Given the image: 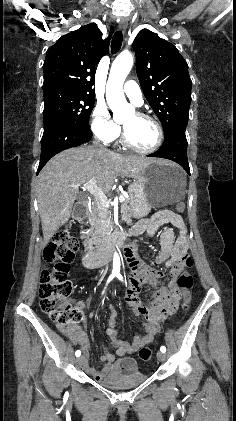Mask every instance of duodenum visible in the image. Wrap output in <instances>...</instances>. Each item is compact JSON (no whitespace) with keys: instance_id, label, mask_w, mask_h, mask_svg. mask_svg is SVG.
I'll return each instance as SVG.
<instances>
[{"instance_id":"obj_1","label":"duodenum","mask_w":236,"mask_h":421,"mask_svg":"<svg viewBox=\"0 0 236 421\" xmlns=\"http://www.w3.org/2000/svg\"><path fill=\"white\" fill-rule=\"evenodd\" d=\"M87 204V201H81L75 206L73 216L77 221H82L85 219L87 213ZM125 240L126 236L121 231H115L109 234L106 237L104 244H102L100 247L90 251L83 250L81 252V260L83 265L89 269L100 267L110 260L112 250L115 247L122 246L125 249V254L128 259L129 265L134 270L137 282H145L159 277V272L157 270H152L139 264V262L134 256L133 246L131 244L126 243ZM165 259L166 257H163V255L157 258L158 262H161ZM171 260L172 262L176 261L174 253H172L171 255ZM177 297L178 294L176 291H169L166 288H160L156 292L154 300L152 302V309L148 310V317L150 320L147 326L148 334L145 337L139 339L140 341L145 340L148 336L153 335L156 332L155 316H162L165 313L173 312L174 303ZM135 310L140 311L142 313H145L147 311V309L140 307H135ZM109 335L112 336L113 344L119 347V349L117 350L118 354L122 355L125 352H129L132 350L133 347L131 345L124 344L121 341L115 339L116 331L109 329ZM71 340L74 342L80 341V339L76 336H72ZM102 360L106 362H112L114 360V356L112 354H106L102 356ZM85 368L94 378L100 379L108 369V366H105L101 371H97L89 367L87 363H85Z\"/></svg>"}]
</instances>
